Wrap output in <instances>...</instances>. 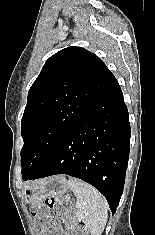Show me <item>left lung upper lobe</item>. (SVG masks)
Segmentation results:
<instances>
[{"label":"left lung upper lobe","mask_w":155,"mask_h":235,"mask_svg":"<svg viewBox=\"0 0 155 235\" xmlns=\"http://www.w3.org/2000/svg\"><path fill=\"white\" fill-rule=\"evenodd\" d=\"M113 78L101 59L81 47L62 49L46 61L21 121L22 178L44 166Z\"/></svg>","instance_id":"1"}]
</instances>
